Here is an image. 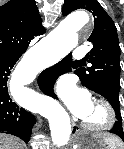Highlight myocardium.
I'll return each instance as SVG.
<instances>
[{"label":"myocardium","instance_id":"1","mask_svg":"<svg viewBox=\"0 0 124 149\" xmlns=\"http://www.w3.org/2000/svg\"><path fill=\"white\" fill-rule=\"evenodd\" d=\"M94 105L102 109L104 117L99 123H93L84 119L82 122L83 127L94 133H102L110 130L116 122V113L113 106L103 98L95 99Z\"/></svg>","mask_w":124,"mask_h":149}]
</instances>
